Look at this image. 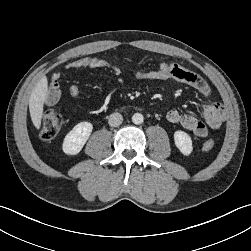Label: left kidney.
Returning a JSON list of instances; mask_svg holds the SVG:
<instances>
[{
  "label": "left kidney",
  "instance_id": "obj_1",
  "mask_svg": "<svg viewBox=\"0 0 251 251\" xmlns=\"http://www.w3.org/2000/svg\"><path fill=\"white\" fill-rule=\"evenodd\" d=\"M174 142L180 152L189 156L193 151L191 137L184 131L178 130L174 133Z\"/></svg>",
  "mask_w": 251,
  "mask_h": 251
}]
</instances>
